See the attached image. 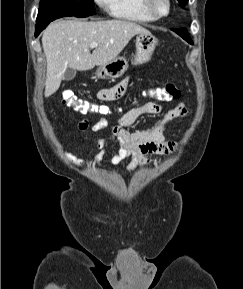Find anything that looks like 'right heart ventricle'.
<instances>
[{
	"instance_id": "right-heart-ventricle-1",
	"label": "right heart ventricle",
	"mask_w": 243,
	"mask_h": 289,
	"mask_svg": "<svg viewBox=\"0 0 243 289\" xmlns=\"http://www.w3.org/2000/svg\"><path fill=\"white\" fill-rule=\"evenodd\" d=\"M109 12L113 17L127 21L145 23L156 20L144 10L142 0H111Z\"/></svg>"
}]
</instances>
